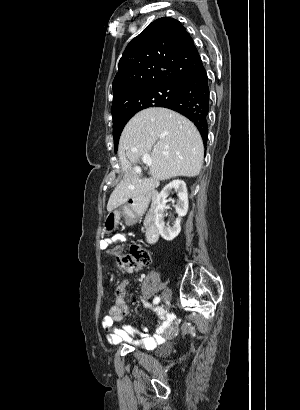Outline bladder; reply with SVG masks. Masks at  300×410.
<instances>
[{"label":"bladder","instance_id":"31cf9c89","mask_svg":"<svg viewBox=\"0 0 300 410\" xmlns=\"http://www.w3.org/2000/svg\"><path fill=\"white\" fill-rule=\"evenodd\" d=\"M172 345L169 342H164L158 347L157 355H161L163 353H167L171 351Z\"/></svg>","mask_w":300,"mask_h":410}]
</instances>
